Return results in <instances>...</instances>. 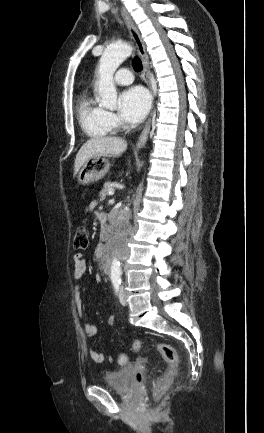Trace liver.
<instances>
[{"label": "liver", "mask_w": 264, "mask_h": 433, "mask_svg": "<svg viewBox=\"0 0 264 433\" xmlns=\"http://www.w3.org/2000/svg\"><path fill=\"white\" fill-rule=\"evenodd\" d=\"M127 149V142L118 137H96L89 139L75 158L74 176L84 163L95 156H119Z\"/></svg>", "instance_id": "liver-1"}]
</instances>
